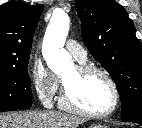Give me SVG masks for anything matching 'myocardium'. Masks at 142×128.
Here are the masks:
<instances>
[{"label":"myocardium","instance_id":"f54148a6","mask_svg":"<svg viewBox=\"0 0 142 128\" xmlns=\"http://www.w3.org/2000/svg\"><path fill=\"white\" fill-rule=\"evenodd\" d=\"M77 69V71L81 74V75H88V74H93V73H98L101 74L102 76H104L106 78V80L108 81V83L111 86L112 92H113V97H114V101H113V105L112 107L106 111V112H102V113H93V112H89L86 111L84 109H82L81 107H79L72 99L70 91L68 90L66 84L63 81V89H62V96L60 99V105L66 109L67 111L86 117V118H92V119H102V118H106L110 115H112L118 108L119 103H120V93H119V89L118 86L114 80V78L111 76V74L106 71L105 69H103L102 67L96 66V65H91V64H78L75 67Z\"/></svg>","mask_w":142,"mask_h":128}]
</instances>
